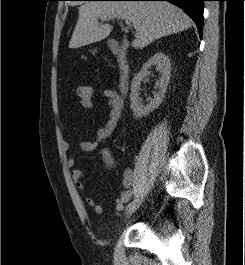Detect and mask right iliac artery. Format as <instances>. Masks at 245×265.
Wrapping results in <instances>:
<instances>
[{"mask_svg": "<svg viewBox=\"0 0 245 265\" xmlns=\"http://www.w3.org/2000/svg\"><path fill=\"white\" fill-rule=\"evenodd\" d=\"M116 208H117V210L121 211V210L124 209V205H123V204H118V205L116 206Z\"/></svg>", "mask_w": 245, "mask_h": 265, "instance_id": "obj_1", "label": "right iliac artery"}]
</instances>
